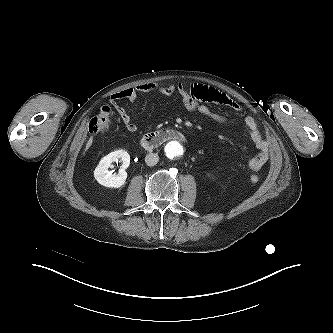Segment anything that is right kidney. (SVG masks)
<instances>
[{
  "instance_id": "obj_1",
  "label": "right kidney",
  "mask_w": 333,
  "mask_h": 333,
  "mask_svg": "<svg viewBox=\"0 0 333 333\" xmlns=\"http://www.w3.org/2000/svg\"><path fill=\"white\" fill-rule=\"evenodd\" d=\"M122 161L121 169L117 174L108 170L112 162ZM130 164V155L124 150H117L103 157L94 170V177L101 185L109 188H119L126 183L127 173L125 169Z\"/></svg>"
}]
</instances>
